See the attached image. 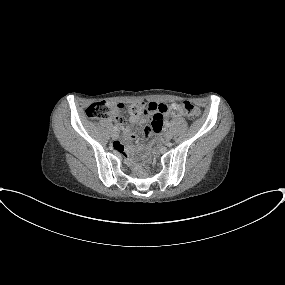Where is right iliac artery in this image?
<instances>
[{
    "mask_svg": "<svg viewBox=\"0 0 285 285\" xmlns=\"http://www.w3.org/2000/svg\"><path fill=\"white\" fill-rule=\"evenodd\" d=\"M114 131H118V128L116 126L113 127Z\"/></svg>",
    "mask_w": 285,
    "mask_h": 285,
    "instance_id": "1",
    "label": "right iliac artery"
}]
</instances>
